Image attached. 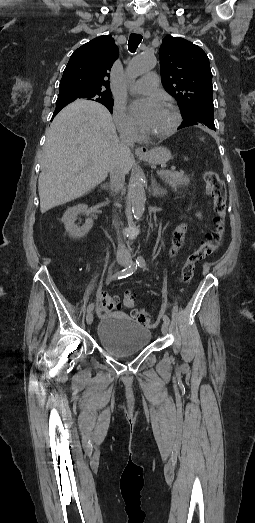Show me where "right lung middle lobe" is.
<instances>
[{
    "label": "right lung middle lobe",
    "mask_w": 255,
    "mask_h": 523,
    "mask_svg": "<svg viewBox=\"0 0 255 523\" xmlns=\"http://www.w3.org/2000/svg\"><path fill=\"white\" fill-rule=\"evenodd\" d=\"M58 99L56 102L71 103L78 98L92 99L99 103H111L113 102L112 94H105L99 92H86L81 90H63L59 91Z\"/></svg>",
    "instance_id": "1"
}]
</instances>
